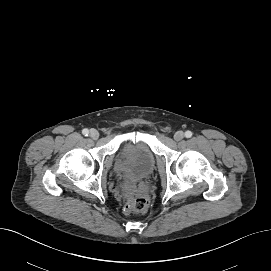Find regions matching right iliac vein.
Here are the masks:
<instances>
[{
    "label": "right iliac vein",
    "instance_id": "obj_1",
    "mask_svg": "<svg viewBox=\"0 0 271 271\" xmlns=\"http://www.w3.org/2000/svg\"><path fill=\"white\" fill-rule=\"evenodd\" d=\"M89 136L95 140L99 137V132L96 129H91L89 132Z\"/></svg>",
    "mask_w": 271,
    "mask_h": 271
}]
</instances>
